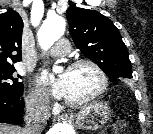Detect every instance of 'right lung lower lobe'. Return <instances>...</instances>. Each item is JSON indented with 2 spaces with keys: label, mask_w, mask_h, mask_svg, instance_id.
<instances>
[{
  "label": "right lung lower lobe",
  "mask_w": 153,
  "mask_h": 134,
  "mask_svg": "<svg viewBox=\"0 0 153 134\" xmlns=\"http://www.w3.org/2000/svg\"><path fill=\"white\" fill-rule=\"evenodd\" d=\"M24 106L22 95L0 92V123L20 124Z\"/></svg>",
  "instance_id": "right-lung-lower-lobe-1"
}]
</instances>
